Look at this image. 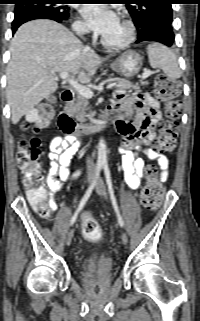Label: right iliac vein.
Here are the masks:
<instances>
[{
	"label": "right iliac vein",
	"mask_w": 200,
	"mask_h": 321,
	"mask_svg": "<svg viewBox=\"0 0 200 321\" xmlns=\"http://www.w3.org/2000/svg\"><path fill=\"white\" fill-rule=\"evenodd\" d=\"M91 181H92V176H89L88 180H87V183L90 184ZM73 235H74V231H73V229H71L67 234V238H66V244L67 245H70V243L72 241V238H73Z\"/></svg>",
	"instance_id": "63e3f726"
}]
</instances>
